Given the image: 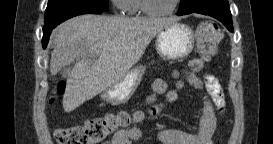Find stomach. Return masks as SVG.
Listing matches in <instances>:
<instances>
[{
	"label": "stomach",
	"instance_id": "stomach-1",
	"mask_svg": "<svg viewBox=\"0 0 273 144\" xmlns=\"http://www.w3.org/2000/svg\"><path fill=\"white\" fill-rule=\"evenodd\" d=\"M155 46L158 54L166 59H182L193 50V30L186 24L172 23L158 33ZM145 69L143 65L131 69L122 80L103 92L102 99L111 105L128 101L138 88Z\"/></svg>",
	"mask_w": 273,
	"mask_h": 144
}]
</instances>
